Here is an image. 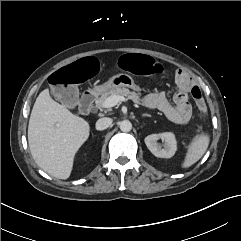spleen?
I'll return each mask as SVG.
<instances>
[{"mask_svg":"<svg viewBox=\"0 0 241 241\" xmlns=\"http://www.w3.org/2000/svg\"><path fill=\"white\" fill-rule=\"evenodd\" d=\"M209 141L210 138L207 133L196 135L188 146V150L181 167L188 168L195 164L205 154Z\"/></svg>","mask_w":241,"mask_h":241,"instance_id":"1","label":"spleen"}]
</instances>
